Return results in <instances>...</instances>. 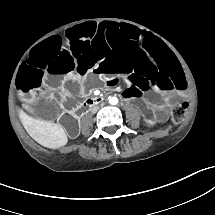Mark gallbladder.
Returning a JSON list of instances; mask_svg holds the SVG:
<instances>
[{
  "label": "gallbladder",
  "mask_w": 215,
  "mask_h": 215,
  "mask_svg": "<svg viewBox=\"0 0 215 215\" xmlns=\"http://www.w3.org/2000/svg\"><path fill=\"white\" fill-rule=\"evenodd\" d=\"M34 111L36 115L49 122L56 120L59 115L56 103L45 99H42L36 103Z\"/></svg>",
  "instance_id": "obj_1"
}]
</instances>
